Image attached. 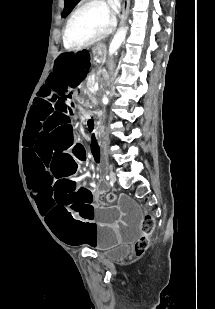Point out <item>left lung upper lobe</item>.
<instances>
[{
	"mask_svg": "<svg viewBox=\"0 0 215 309\" xmlns=\"http://www.w3.org/2000/svg\"><path fill=\"white\" fill-rule=\"evenodd\" d=\"M76 1L77 0H65V8L63 11V17H66L69 14V12L73 8V5Z\"/></svg>",
	"mask_w": 215,
	"mask_h": 309,
	"instance_id": "5c2ea615",
	"label": "left lung upper lobe"
}]
</instances>
